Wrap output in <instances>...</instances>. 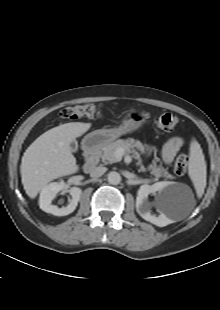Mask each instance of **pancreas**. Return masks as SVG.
I'll use <instances>...</instances> for the list:
<instances>
[{
  "label": "pancreas",
  "mask_w": 220,
  "mask_h": 310,
  "mask_svg": "<svg viewBox=\"0 0 220 310\" xmlns=\"http://www.w3.org/2000/svg\"><path fill=\"white\" fill-rule=\"evenodd\" d=\"M135 147L140 151L144 150L143 144L138 140H134L132 138L126 140L119 139L104 146L99 155L104 164H112L121 160V158L117 157L115 154L117 149L122 148L126 152H130L131 149ZM147 169L152 175L156 177L163 176L165 178H173V176L169 174L163 167L157 166L156 164L149 165Z\"/></svg>",
  "instance_id": "cf45deb5"
}]
</instances>
